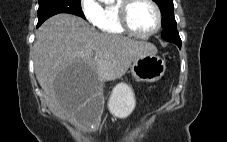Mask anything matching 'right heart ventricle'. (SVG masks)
I'll use <instances>...</instances> for the list:
<instances>
[{"label":"right heart ventricle","instance_id":"obj_1","mask_svg":"<svg viewBox=\"0 0 227 142\" xmlns=\"http://www.w3.org/2000/svg\"><path fill=\"white\" fill-rule=\"evenodd\" d=\"M121 0L113 5H106L101 8L99 20L96 26L105 34L124 35L126 31L121 27L118 18V6Z\"/></svg>","mask_w":227,"mask_h":142}]
</instances>
